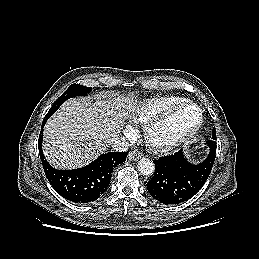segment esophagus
Instances as JSON below:
<instances>
[{
	"mask_svg": "<svg viewBox=\"0 0 259 259\" xmlns=\"http://www.w3.org/2000/svg\"><path fill=\"white\" fill-rule=\"evenodd\" d=\"M142 156V153L139 151H131L128 154V159L131 161H136L139 160Z\"/></svg>",
	"mask_w": 259,
	"mask_h": 259,
	"instance_id": "obj_1",
	"label": "esophagus"
}]
</instances>
